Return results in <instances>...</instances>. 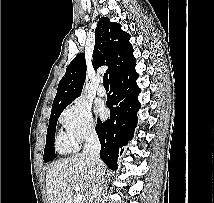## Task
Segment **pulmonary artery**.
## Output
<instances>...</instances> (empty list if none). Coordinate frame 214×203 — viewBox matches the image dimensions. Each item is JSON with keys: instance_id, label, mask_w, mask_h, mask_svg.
I'll return each instance as SVG.
<instances>
[{"instance_id": "pulmonary-artery-1", "label": "pulmonary artery", "mask_w": 214, "mask_h": 203, "mask_svg": "<svg viewBox=\"0 0 214 203\" xmlns=\"http://www.w3.org/2000/svg\"><path fill=\"white\" fill-rule=\"evenodd\" d=\"M97 93L100 95V96H104L106 94V90L104 88L103 85H99L98 88H97Z\"/></svg>"}]
</instances>
